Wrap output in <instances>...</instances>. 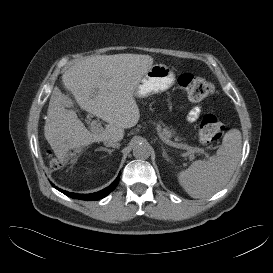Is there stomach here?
<instances>
[{
    "mask_svg": "<svg viewBox=\"0 0 273 273\" xmlns=\"http://www.w3.org/2000/svg\"><path fill=\"white\" fill-rule=\"evenodd\" d=\"M175 82L173 69L164 64H155L142 76L135 88L134 95L145 98L169 89Z\"/></svg>",
    "mask_w": 273,
    "mask_h": 273,
    "instance_id": "0dacf381",
    "label": "stomach"
}]
</instances>
